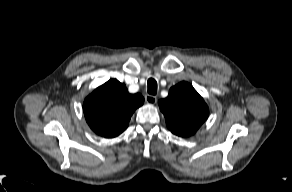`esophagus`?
<instances>
[{"mask_svg":"<svg viewBox=\"0 0 292 192\" xmlns=\"http://www.w3.org/2000/svg\"><path fill=\"white\" fill-rule=\"evenodd\" d=\"M145 101L148 104H155L157 102V98H156V96L147 94V95H145Z\"/></svg>","mask_w":292,"mask_h":192,"instance_id":"1","label":"esophagus"}]
</instances>
